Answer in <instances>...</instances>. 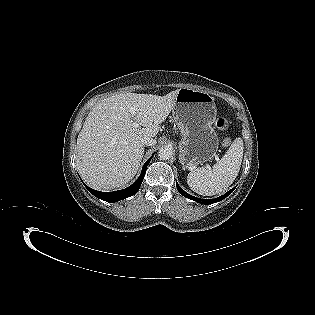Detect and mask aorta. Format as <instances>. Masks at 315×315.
Returning a JSON list of instances; mask_svg holds the SVG:
<instances>
[{
	"label": "aorta",
	"mask_w": 315,
	"mask_h": 315,
	"mask_svg": "<svg viewBox=\"0 0 315 315\" xmlns=\"http://www.w3.org/2000/svg\"><path fill=\"white\" fill-rule=\"evenodd\" d=\"M173 155V148L170 146H163L158 150V156L161 160H168Z\"/></svg>",
	"instance_id": "762f6f07"
}]
</instances>
